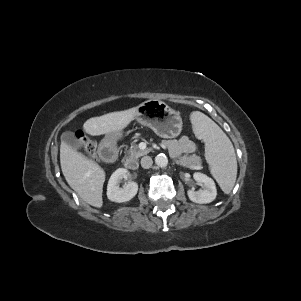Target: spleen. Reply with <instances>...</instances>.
<instances>
[{"mask_svg": "<svg viewBox=\"0 0 301 301\" xmlns=\"http://www.w3.org/2000/svg\"><path fill=\"white\" fill-rule=\"evenodd\" d=\"M190 120L197 136L205 142L206 160L212 176L224 193H230L237 176V160L230 139L214 121L199 111H194Z\"/></svg>", "mask_w": 301, "mask_h": 301, "instance_id": "1", "label": "spleen"}]
</instances>
